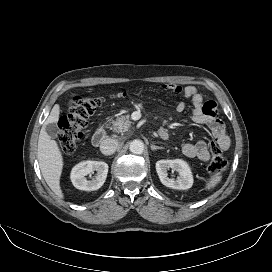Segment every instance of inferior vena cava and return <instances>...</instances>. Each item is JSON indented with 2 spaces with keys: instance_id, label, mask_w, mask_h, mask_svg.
Returning <instances> with one entry per match:
<instances>
[{
  "instance_id": "1",
  "label": "inferior vena cava",
  "mask_w": 272,
  "mask_h": 272,
  "mask_svg": "<svg viewBox=\"0 0 272 272\" xmlns=\"http://www.w3.org/2000/svg\"><path fill=\"white\" fill-rule=\"evenodd\" d=\"M118 147V141L112 138H106L100 144V151L104 155H111L113 154Z\"/></svg>"
}]
</instances>
